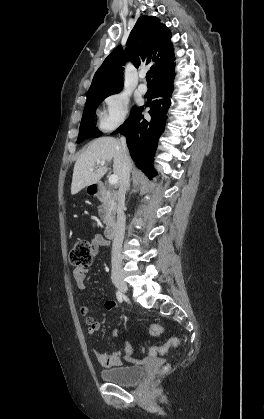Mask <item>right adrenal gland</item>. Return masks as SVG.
<instances>
[{
  "label": "right adrenal gland",
  "mask_w": 264,
  "mask_h": 419,
  "mask_svg": "<svg viewBox=\"0 0 264 419\" xmlns=\"http://www.w3.org/2000/svg\"><path fill=\"white\" fill-rule=\"evenodd\" d=\"M130 190V183H129V185H128V191Z\"/></svg>",
  "instance_id": "1"
}]
</instances>
